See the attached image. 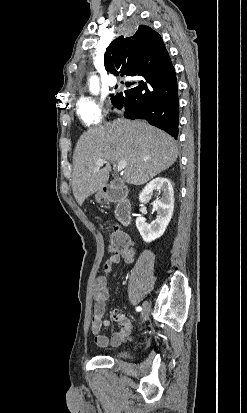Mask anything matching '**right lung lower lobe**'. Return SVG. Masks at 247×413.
<instances>
[{"mask_svg": "<svg viewBox=\"0 0 247 413\" xmlns=\"http://www.w3.org/2000/svg\"><path fill=\"white\" fill-rule=\"evenodd\" d=\"M138 86L117 94L113 105L128 119H145L175 139L178 136L177 79L171 60L158 69L135 76Z\"/></svg>", "mask_w": 247, "mask_h": 413, "instance_id": "obj_1", "label": "right lung lower lobe"}]
</instances>
